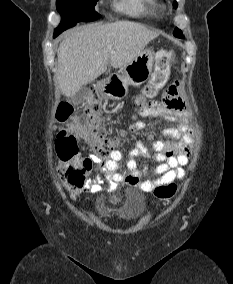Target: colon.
I'll list each match as a JSON object with an SVG mask.
<instances>
[{
    "label": "colon",
    "instance_id": "colon-1",
    "mask_svg": "<svg viewBox=\"0 0 233 284\" xmlns=\"http://www.w3.org/2000/svg\"><path fill=\"white\" fill-rule=\"evenodd\" d=\"M176 61L175 54L170 50H159L155 55V68L148 84L143 88L137 99L139 105L157 97L166 85L172 64ZM101 102L93 100L85 108L88 132L86 140L92 149L102 155L114 151V141L107 137V132L99 118ZM73 113V107L67 102H60L57 109V119L67 120ZM57 157L60 161L59 177L64 187L70 191L81 189L92 169V161L78 154L76 137L65 130L58 132L55 141ZM178 191L175 183L158 186L154 194L160 199H170Z\"/></svg>",
    "mask_w": 233,
    "mask_h": 284
}]
</instances>
